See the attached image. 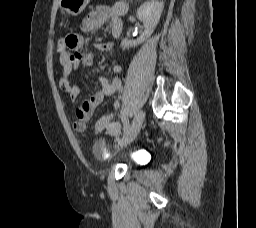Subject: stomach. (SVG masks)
<instances>
[{
  "mask_svg": "<svg viewBox=\"0 0 256 228\" xmlns=\"http://www.w3.org/2000/svg\"><path fill=\"white\" fill-rule=\"evenodd\" d=\"M90 0H60V6L63 11L72 16L79 15L87 6ZM62 23L67 24L68 20L62 19Z\"/></svg>",
  "mask_w": 256,
  "mask_h": 228,
  "instance_id": "1",
  "label": "stomach"
}]
</instances>
